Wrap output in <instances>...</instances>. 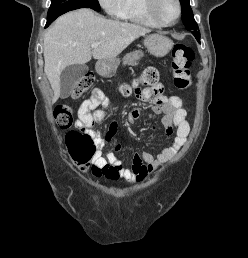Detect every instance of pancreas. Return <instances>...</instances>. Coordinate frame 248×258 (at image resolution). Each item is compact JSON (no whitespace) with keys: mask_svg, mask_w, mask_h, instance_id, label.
I'll return each mask as SVG.
<instances>
[{"mask_svg":"<svg viewBox=\"0 0 248 258\" xmlns=\"http://www.w3.org/2000/svg\"><path fill=\"white\" fill-rule=\"evenodd\" d=\"M142 56V51H133L131 53H128L123 58V65L136 66Z\"/></svg>","mask_w":248,"mask_h":258,"instance_id":"1","label":"pancreas"}]
</instances>
